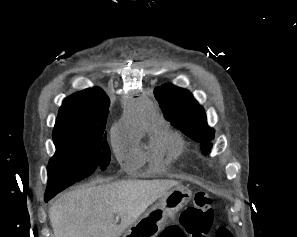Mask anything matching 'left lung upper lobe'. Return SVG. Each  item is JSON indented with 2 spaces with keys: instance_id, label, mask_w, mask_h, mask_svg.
Segmentation results:
<instances>
[{
  "instance_id": "left-lung-upper-lobe-1",
  "label": "left lung upper lobe",
  "mask_w": 297,
  "mask_h": 237,
  "mask_svg": "<svg viewBox=\"0 0 297 237\" xmlns=\"http://www.w3.org/2000/svg\"><path fill=\"white\" fill-rule=\"evenodd\" d=\"M154 95L163 110L165 118L180 129L185 135L196 142H200L203 154L210 152L214 130L209 128L202 106L192 94L173 84H164L154 90Z\"/></svg>"
}]
</instances>
